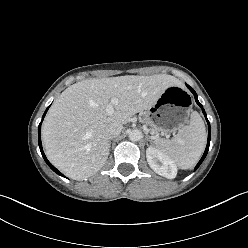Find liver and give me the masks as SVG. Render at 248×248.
<instances>
[{
    "instance_id": "obj_1",
    "label": "liver",
    "mask_w": 248,
    "mask_h": 248,
    "mask_svg": "<svg viewBox=\"0 0 248 248\" xmlns=\"http://www.w3.org/2000/svg\"><path fill=\"white\" fill-rule=\"evenodd\" d=\"M180 84L171 75L157 74L86 79L71 85L55 100L42 126L47 158L74 180L94 175L109 155L106 129L127 124L153 106L167 88ZM113 97L118 104L108 114Z\"/></svg>"
}]
</instances>
